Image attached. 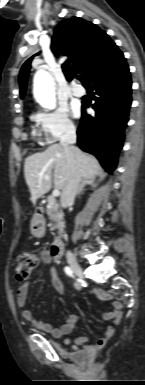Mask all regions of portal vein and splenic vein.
<instances>
[{"label":"portal vein and splenic vein","mask_w":145,"mask_h":385,"mask_svg":"<svg viewBox=\"0 0 145 385\" xmlns=\"http://www.w3.org/2000/svg\"><path fill=\"white\" fill-rule=\"evenodd\" d=\"M40 176L42 177L43 174H41ZM46 178H48V177H46ZM59 195H60V191L58 189L53 190V192H52V196L53 197H57Z\"/></svg>","instance_id":"obj_1"}]
</instances>
